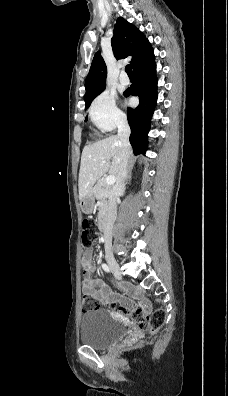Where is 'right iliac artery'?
Here are the masks:
<instances>
[{"label": "right iliac artery", "instance_id": "1", "mask_svg": "<svg viewBox=\"0 0 228 396\" xmlns=\"http://www.w3.org/2000/svg\"><path fill=\"white\" fill-rule=\"evenodd\" d=\"M102 268H103V270H104L105 272H108V273L111 272L109 266H108L107 264H105V263L102 264Z\"/></svg>", "mask_w": 228, "mask_h": 396}]
</instances>
